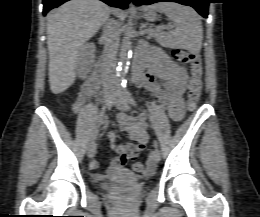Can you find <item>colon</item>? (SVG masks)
Listing matches in <instances>:
<instances>
[{"mask_svg": "<svg viewBox=\"0 0 260 217\" xmlns=\"http://www.w3.org/2000/svg\"><path fill=\"white\" fill-rule=\"evenodd\" d=\"M173 58L182 63L190 65L191 78L189 83V98L187 107L190 111L196 109L202 92V75L203 65L199 54L194 52H187L183 50H175L172 53ZM134 171L138 173L145 172L144 164L136 162L133 164Z\"/></svg>", "mask_w": 260, "mask_h": 217, "instance_id": "1", "label": "colon"}]
</instances>
